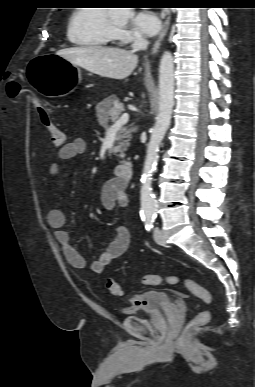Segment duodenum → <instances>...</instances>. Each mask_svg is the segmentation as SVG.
<instances>
[{
  "label": "duodenum",
  "instance_id": "410a0bca",
  "mask_svg": "<svg viewBox=\"0 0 255 387\" xmlns=\"http://www.w3.org/2000/svg\"><path fill=\"white\" fill-rule=\"evenodd\" d=\"M116 175L125 183L128 182L134 173V165L131 160H126L115 167Z\"/></svg>",
  "mask_w": 255,
  "mask_h": 387
}]
</instances>
